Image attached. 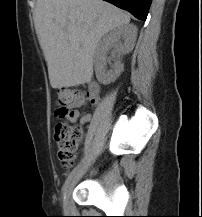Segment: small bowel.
I'll use <instances>...</instances> for the list:
<instances>
[{"mask_svg":"<svg viewBox=\"0 0 202 217\" xmlns=\"http://www.w3.org/2000/svg\"><path fill=\"white\" fill-rule=\"evenodd\" d=\"M89 97V102L91 105H96L98 102V93H89L88 94ZM84 103H80L76 106H74V108L71 111V115H70V120L71 121H76L78 119H80V123L84 124L88 121H90L91 119V113L89 112H84L81 113L80 109L84 106Z\"/></svg>","mask_w":202,"mask_h":217,"instance_id":"obj_1","label":"small bowel"}]
</instances>
